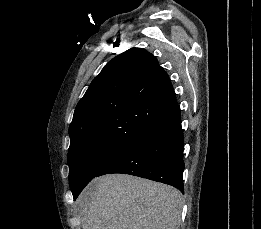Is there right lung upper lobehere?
I'll return each mask as SVG.
<instances>
[{
	"label": "right lung upper lobe",
	"instance_id": "right-lung-upper-lobe-1",
	"mask_svg": "<svg viewBox=\"0 0 261 229\" xmlns=\"http://www.w3.org/2000/svg\"><path fill=\"white\" fill-rule=\"evenodd\" d=\"M176 106L171 81L157 59L131 48L106 64L76 106L70 145H132Z\"/></svg>",
	"mask_w": 261,
	"mask_h": 229
}]
</instances>
